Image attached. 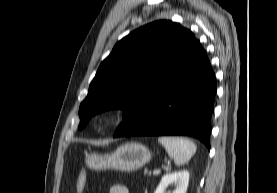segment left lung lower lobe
Wrapping results in <instances>:
<instances>
[{"label":"left lung lower lobe","instance_id":"0a47b994","mask_svg":"<svg viewBox=\"0 0 277 193\" xmlns=\"http://www.w3.org/2000/svg\"><path fill=\"white\" fill-rule=\"evenodd\" d=\"M215 94L214 72L197 42L187 60L114 137L185 135L210 149Z\"/></svg>","mask_w":277,"mask_h":193}]
</instances>
